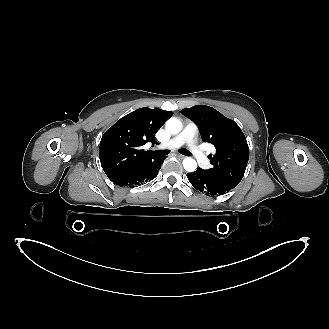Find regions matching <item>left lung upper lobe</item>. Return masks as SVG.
Returning <instances> with one entry per match:
<instances>
[{
  "mask_svg": "<svg viewBox=\"0 0 329 329\" xmlns=\"http://www.w3.org/2000/svg\"><path fill=\"white\" fill-rule=\"evenodd\" d=\"M181 112L197 123L202 140L216 148L215 155L210 156L212 168L205 171L236 187L244 176L249 159V147L240 127L206 105L193 106Z\"/></svg>",
  "mask_w": 329,
  "mask_h": 329,
  "instance_id": "5c2ea615",
  "label": "left lung upper lobe"
}]
</instances>
